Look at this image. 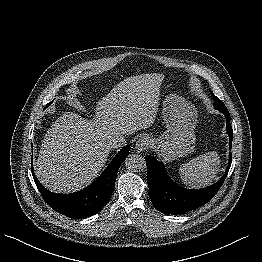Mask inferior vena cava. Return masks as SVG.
<instances>
[{
    "instance_id": "obj_1",
    "label": "inferior vena cava",
    "mask_w": 262,
    "mask_h": 262,
    "mask_svg": "<svg viewBox=\"0 0 262 262\" xmlns=\"http://www.w3.org/2000/svg\"><path fill=\"white\" fill-rule=\"evenodd\" d=\"M126 144V141L124 138H114L108 141L107 147L109 149L112 148H119Z\"/></svg>"
}]
</instances>
